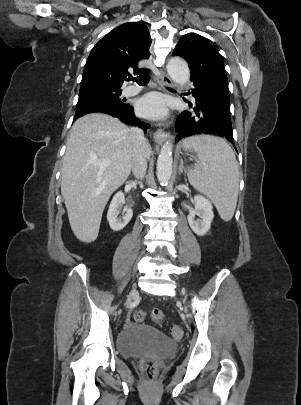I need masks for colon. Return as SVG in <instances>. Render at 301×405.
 Listing matches in <instances>:
<instances>
[{
    "instance_id": "1",
    "label": "colon",
    "mask_w": 301,
    "mask_h": 405,
    "mask_svg": "<svg viewBox=\"0 0 301 405\" xmlns=\"http://www.w3.org/2000/svg\"><path fill=\"white\" fill-rule=\"evenodd\" d=\"M147 317H149L154 323L160 324L164 319V314L159 309H153L149 313L143 310H136L133 313V319L136 322H143ZM172 335L174 338H181L183 336V330L181 327L175 325L172 327ZM147 376L150 380H153L158 373V366L154 361H148L146 364Z\"/></svg>"
}]
</instances>
